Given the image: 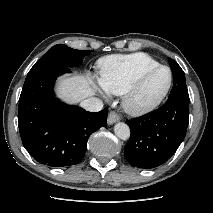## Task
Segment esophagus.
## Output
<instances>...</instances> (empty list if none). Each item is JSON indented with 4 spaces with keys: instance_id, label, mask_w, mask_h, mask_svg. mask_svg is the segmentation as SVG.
<instances>
[{
    "instance_id": "esophagus-1",
    "label": "esophagus",
    "mask_w": 213,
    "mask_h": 213,
    "mask_svg": "<svg viewBox=\"0 0 213 213\" xmlns=\"http://www.w3.org/2000/svg\"><path fill=\"white\" fill-rule=\"evenodd\" d=\"M119 119H120L119 115L112 111L108 114L107 121H108V124L111 125V124L119 121Z\"/></svg>"
}]
</instances>
